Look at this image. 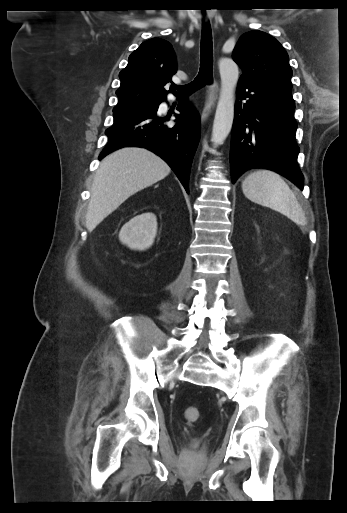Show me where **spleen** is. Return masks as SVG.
I'll use <instances>...</instances> for the list:
<instances>
[{
    "label": "spleen",
    "mask_w": 347,
    "mask_h": 513,
    "mask_svg": "<svg viewBox=\"0 0 347 513\" xmlns=\"http://www.w3.org/2000/svg\"><path fill=\"white\" fill-rule=\"evenodd\" d=\"M242 191L252 202L278 211L297 224H305V214L294 192L277 173L251 172L242 182Z\"/></svg>",
    "instance_id": "3e777b00"
}]
</instances>
